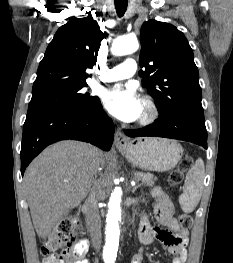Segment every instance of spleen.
Instances as JSON below:
<instances>
[{"instance_id":"3e777b00","label":"spleen","mask_w":233,"mask_h":263,"mask_svg":"<svg viewBox=\"0 0 233 263\" xmlns=\"http://www.w3.org/2000/svg\"><path fill=\"white\" fill-rule=\"evenodd\" d=\"M204 176V162L201 158H198L186 175L185 189L179 197V204L184 212L191 213L198 205L201 198Z\"/></svg>"}]
</instances>
